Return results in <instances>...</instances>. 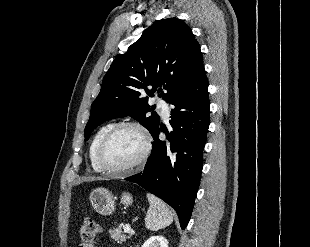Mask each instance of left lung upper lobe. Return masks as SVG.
I'll return each instance as SVG.
<instances>
[{
	"label": "left lung upper lobe",
	"mask_w": 310,
	"mask_h": 247,
	"mask_svg": "<svg viewBox=\"0 0 310 247\" xmlns=\"http://www.w3.org/2000/svg\"><path fill=\"white\" fill-rule=\"evenodd\" d=\"M202 67L200 45L191 29L177 18L157 21L111 64L91 105L85 140L104 121L128 115L152 134L160 117L146 95L152 97L158 91L169 102Z\"/></svg>",
	"instance_id": "obj_1"
}]
</instances>
